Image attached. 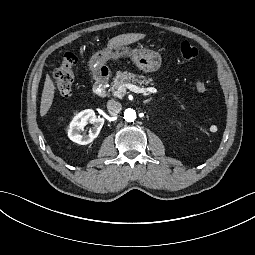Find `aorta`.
Masks as SVG:
<instances>
[{
    "label": "aorta",
    "mask_w": 255,
    "mask_h": 255,
    "mask_svg": "<svg viewBox=\"0 0 255 255\" xmlns=\"http://www.w3.org/2000/svg\"><path fill=\"white\" fill-rule=\"evenodd\" d=\"M124 119L127 122H134L135 119H136V112H135V110H133L131 108L126 109L125 112H124Z\"/></svg>",
    "instance_id": "762f6f07"
}]
</instances>
